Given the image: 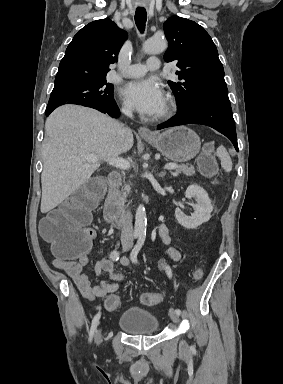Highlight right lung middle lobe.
<instances>
[{"label":"right lung middle lobe","mask_w":283,"mask_h":384,"mask_svg":"<svg viewBox=\"0 0 283 384\" xmlns=\"http://www.w3.org/2000/svg\"><path fill=\"white\" fill-rule=\"evenodd\" d=\"M114 87L106 79L54 87L47 107L63 104H85L90 102H108L114 100Z\"/></svg>","instance_id":"right-lung-middle-lobe-1"}]
</instances>
